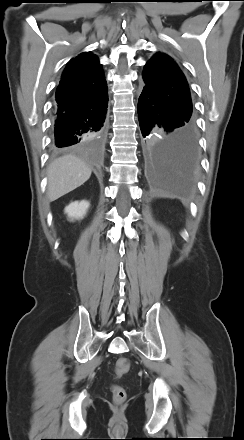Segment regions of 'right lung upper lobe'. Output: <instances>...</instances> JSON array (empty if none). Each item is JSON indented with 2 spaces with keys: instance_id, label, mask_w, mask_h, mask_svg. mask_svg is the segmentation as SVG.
I'll return each instance as SVG.
<instances>
[{
  "instance_id": "1",
  "label": "right lung upper lobe",
  "mask_w": 244,
  "mask_h": 440,
  "mask_svg": "<svg viewBox=\"0 0 244 440\" xmlns=\"http://www.w3.org/2000/svg\"><path fill=\"white\" fill-rule=\"evenodd\" d=\"M106 92V81L97 56L84 52L71 59L63 71L56 90L55 107L81 106Z\"/></svg>"
}]
</instances>
